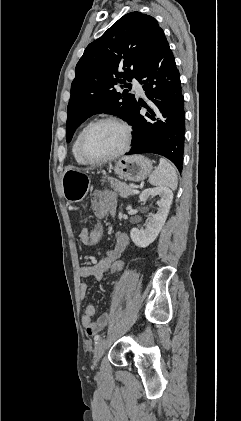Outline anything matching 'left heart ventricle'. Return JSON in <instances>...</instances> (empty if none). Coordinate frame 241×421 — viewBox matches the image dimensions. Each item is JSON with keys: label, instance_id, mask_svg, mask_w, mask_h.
I'll return each instance as SVG.
<instances>
[{"label": "left heart ventricle", "instance_id": "left-heart-ventricle-1", "mask_svg": "<svg viewBox=\"0 0 241 421\" xmlns=\"http://www.w3.org/2000/svg\"><path fill=\"white\" fill-rule=\"evenodd\" d=\"M124 142V132L113 123L94 127L85 140V151L92 158H102L116 152Z\"/></svg>", "mask_w": 241, "mask_h": 421}]
</instances>
